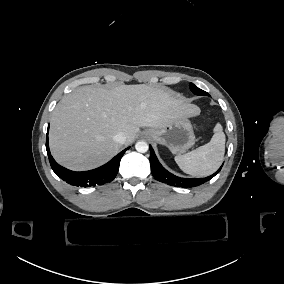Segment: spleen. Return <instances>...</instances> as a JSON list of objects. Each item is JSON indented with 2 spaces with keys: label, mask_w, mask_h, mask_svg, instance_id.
<instances>
[{
  "label": "spleen",
  "mask_w": 284,
  "mask_h": 284,
  "mask_svg": "<svg viewBox=\"0 0 284 284\" xmlns=\"http://www.w3.org/2000/svg\"><path fill=\"white\" fill-rule=\"evenodd\" d=\"M215 134L206 144L183 155H176L179 168L192 176H207L219 168L224 156L225 135L221 125L215 127Z\"/></svg>",
  "instance_id": "obj_1"
}]
</instances>
